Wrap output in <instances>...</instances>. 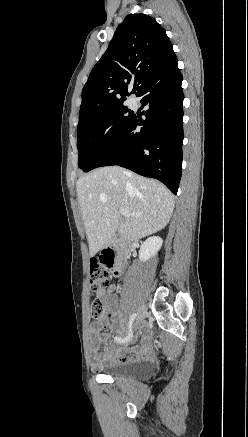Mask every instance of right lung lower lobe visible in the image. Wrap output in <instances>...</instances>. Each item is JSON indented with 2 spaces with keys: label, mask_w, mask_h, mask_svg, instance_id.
Instances as JSON below:
<instances>
[{
  "label": "right lung lower lobe",
  "mask_w": 248,
  "mask_h": 437,
  "mask_svg": "<svg viewBox=\"0 0 248 437\" xmlns=\"http://www.w3.org/2000/svg\"><path fill=\"white\" fill-rule=\"evenodd\" d=\"M182 75L174 55L136 93L141 97L144 118L132 119L110 148L93 165H119L142 176L158 179L174 194L182 170L183 92ZM143 126L139 132L136 127Z\"/></svg>",
  "instance_id": "1"
}]
</instances>
